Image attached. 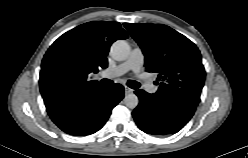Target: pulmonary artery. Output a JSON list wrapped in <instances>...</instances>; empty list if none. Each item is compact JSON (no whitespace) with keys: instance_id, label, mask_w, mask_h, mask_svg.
<instances>
[{"instance_id":"e3ab8cb5","label":"pulmonary artery","mask_w":248,"mask_h":158,"mask_svg":"<svg viewBox=\"0 0 248 158\" xmlns=\"http://www.w3.org/2000/svg\"><path fill=\"white\" fill-rule=\"evenodd\" d=\"M143 63V52L139 47H136L131 51L129 57L124 62L120 63L114 68L107 70V72L113 76H120L127 73L128 71H133L134 73L139 74L142 69ZM147 90L149 92H155V87L150 85L147 87Z\"/></svg>"}]
</instances>
